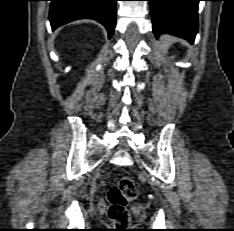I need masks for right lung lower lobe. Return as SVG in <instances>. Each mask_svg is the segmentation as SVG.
Listing matches in <instances>:
<instances>
[{
  "mask_svg": "<svg viewBox=\"0 0 234 231\" xmlns=\"http://www.w3.org/2000/svg\"><path fill=\"white\" fill-rule=\"evenodd\" d=\"M52 29L68 22L90 18L103 24L111 37L116 25L117 0H50Z\"/></svg>",
  "mask_w": 234,
  "mask_h": 231,
  "instance_id": "98d812e1",
  "label": "right lung lower lobe"
}]
</instances>
